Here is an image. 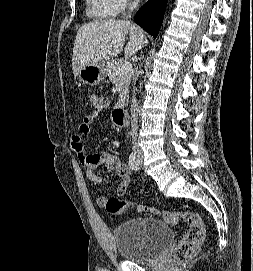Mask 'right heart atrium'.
I'll return each instance as SVG.
<instances>
[{"instance_id":"1","label":"right heart atrium","mask_w":253,"mask_h":271,"mask_svg":"<svg viewBox=\"0 0 253 271\" xmlns=\"http://www.w3.org/2000/svg\"><path fill=\"white\" fill-rule=\"evenodd\" d=\"M118 12L123 11L127 7L135 4L137 0H110Z\"/></svg>"}]
</instances>
